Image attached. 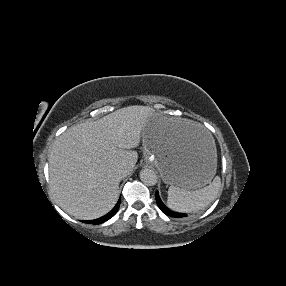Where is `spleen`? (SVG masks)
Segmentation results:
<instances>
[{
  "label": "spleen",
  "instance_id": "obj_1",
  "mask_svg": "<svg viewBox=\"0 0 286 286\" xmlns=\"http://www.w3.org/2000/svg\"><path fill=\"white\" fill-rule=\"evenodd\" d=\"M221 189V179L216 176L208 186L188 191L171 185L168 189L167 205L178 212H194L204 209L217 196Z\"/></svg>",
  "mask_w": 286,
  "mask_h": 286
}]
</instances>
